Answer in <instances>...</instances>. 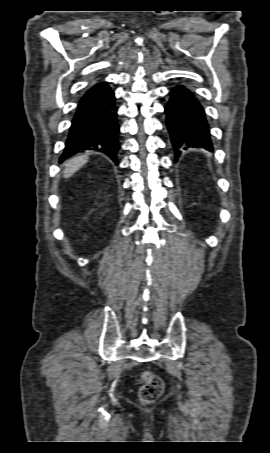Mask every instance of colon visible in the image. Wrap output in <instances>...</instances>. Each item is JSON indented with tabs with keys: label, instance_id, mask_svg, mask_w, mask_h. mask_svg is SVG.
Listing matches in <instances>:
<instances>
[{
	"label": "colon",
	"instance_id": "colon-1",
	"mask_svg": "<svg viewBox=\"0 0 270 453\" xmlns=\"http://www.w3.org/2000/svg\"><path fill=\"white\" fill-rule=\"evenodd\" d=\"M143 382L139 390V399L143 405H149L158 399L164 391L163 380L150 371H144L141 375Z\"/></svg>",
	"mask_w": 270,
	"mask_h": 453
}]
</instances>
